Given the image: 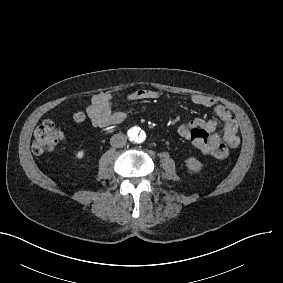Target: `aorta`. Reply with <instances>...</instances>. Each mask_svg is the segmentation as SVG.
<instances>
[{
	"mask_svg": "<svg viewBox=\"0 0 283 283\" xmlns=\"http://www.w3.org/2000/svg\"><path fill=\"white\" fill-rule=\"evenodd\" d=\"M127 134L130 141L135 143H143L147 137L145 131L138 126L131 127L128 130Z\"/></svg>",
	"mask_w": 283,
	"mask_h": 283,
	"instance_id": "1",
	"label": "aorta"
}]
</instances>
